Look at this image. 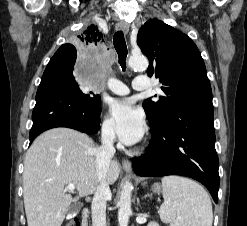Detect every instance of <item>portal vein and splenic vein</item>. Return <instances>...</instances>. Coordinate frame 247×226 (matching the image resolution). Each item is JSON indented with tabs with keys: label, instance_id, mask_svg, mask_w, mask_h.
<instances>
[{
	"label": "portal vein and splenic vein",
	"instance_id": "obj_1",
	"mask_svg": "<svg viewBox=\"0 0 247 226\" xmlns=\"http://www.w3.org/2000/svg\"><path fill=\"white\" fill-rule=\"evenodd\" d=\"M65 190H66V191H74V190H75V185H74V184H68V185L65 187Z\"/></svg>",
	"mask_w": 247,
	"mask_h": 226
}]
</instances>
